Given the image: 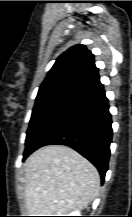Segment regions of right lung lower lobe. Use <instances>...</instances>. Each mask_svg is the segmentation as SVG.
Masks as SVG:
<instances>
[{"instance_id": "right-lung-lower-lobe-1", "label": "right lung lower lobe", "mask_w": 132, "mask_h": 217, "mask_svg": "<svg viewBox=\"0 0 132 217\" xmlns=\"http://www.w3.org/2000/svg\"><path fill=\"white\" fill-rule=\"evenodd\" d=\"M111 124L108 100L101 87L65 106L24 152V159L42 146L66 145L95 165L104 182L110 157Z\"/></svg>"}]
</instances>
